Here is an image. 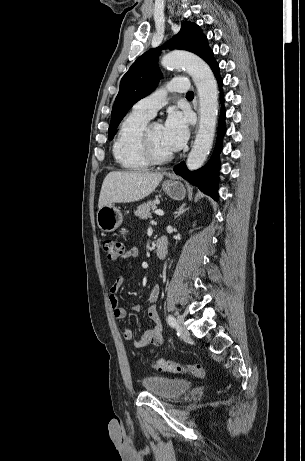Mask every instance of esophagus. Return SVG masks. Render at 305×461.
Listing matches in <instances>:
<instances>
[{
  "mask_svg": "<svg viewBox=\"0 0 305 461\" xmlns=\"http://www.w3.org/2000/svg\"><path fill=\"white\" fill-rule=\"evenodd\" d=\"M195 109H196V111H197V113H198V115H199V104H198V99H197V97H196ZM196 130H197V128H196ZM195 132H196V131H195Z\"/></svg>",
  "mask_w": 305,
  "mask_h": 461,
  "instance_id": "1",
  "label": "esophagus"
}]
</instances>
